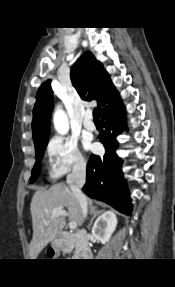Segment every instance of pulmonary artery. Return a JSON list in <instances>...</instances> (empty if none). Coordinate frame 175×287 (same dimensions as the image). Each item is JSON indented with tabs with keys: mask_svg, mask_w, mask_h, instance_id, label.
<instances>
[{
	"mask_svg": "<svg viewBox=\"0 0 175 287\" xmlns=\"http://www.w3.org/2000/svg\"><path fill=\"white\" fill-rule=\"evenodd\" d=\"M83 124L87 130H90V131L95 130V124L92 120V113L90 111L86 113Z\"/></svg>",
	"mask_w": 175,
	"mask_h": 287,
	"instance_id": "pulmonary-artery-1",
	"label": "pulmonary artery"
}]
</instances>
